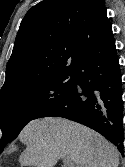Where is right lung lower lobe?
<instances>
[{"label": "right lung lower lobe", "mask_w": 125, "mask_h": 167, "mask_svg": "<svg viewBox=\"0 0 125 167\" xmlns=\"http://www.w3.org/2000/svg\"><path fill=\"white\" fill-rule=\"evenodd\" d=\"M73 73V86L32 120L56 116L76 121L99 132L123 155L122 83L112 27L93 43Z\"/></svg>", "instance_id": "98d812e1"}]
</instances>
